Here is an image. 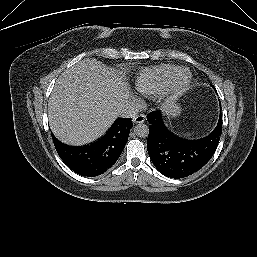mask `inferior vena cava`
Segmentation results:
<instances>
[{"label": "inferior vena cava", "instance_id": "obj_1", "mask_svg": "<svg viewBox=\"0 0 257 257\" xmlns=\"http://www.w3.org/2000/svg\"><path fill=\"white\" fill-rule=\"evenodd\" d=\"M138 114L136 105L132 102H124L117 110V115L122 118H134Z\"/></svg>", "mask_w": 257, "mask_h": 257}]
</instances>
